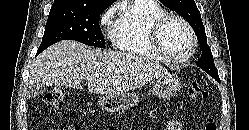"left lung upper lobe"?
<instances>
[{
  "label": "left lung upper lobe",
  "mask_w": 249,
  "mask_h": 130,
  "mask_svg": "<svg viewBox=\"0 0 249 130\" xmlns=\"http://www.w3.org/2000/svg\"><path fill=\"white\" fill-rule=\"evenodd\" d=\"M161 2L171 10L179 13L193 28L202 50L201 58L197 61V66L220 82L218 71L214 64L211 49L207 44L205 28L201 19L200 12L194 0H161Z\"/></svg>",
  "instance_id": "obj_1"
}]
</instances>
